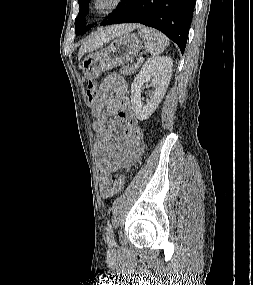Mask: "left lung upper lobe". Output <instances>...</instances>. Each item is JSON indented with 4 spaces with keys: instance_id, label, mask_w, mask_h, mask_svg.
I'll return each instance as SVG.
<instances>
[{
    "instance_id": "1",
    "label": "left lung upper lobe",
    "mask_w": 253,
    "mask_h": 285,
    "mask_svg": "<svg viewBox=\"0 0 253 285\" xmlns=\"http://www.w3.org/2000/svg\"><path fill=\"white\" fill-rule=\"evenodd\" d=\"M89 2L90 0H78L80 10L78 16L75 19L76 35H83L92 27V25L85 27L86 23L84 20L85 15L88 13Z\"/></svg>"
}]
</instances>
